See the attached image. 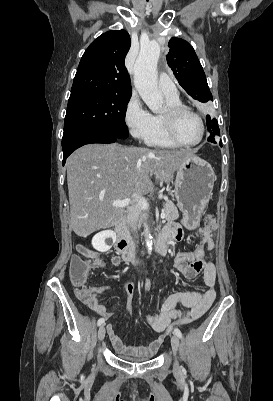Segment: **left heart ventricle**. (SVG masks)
Segmentation results:
<instances>
[{
  "label": "left heart ventricle",
  "mask_w": 273,
  "mask_h": 401,
  "mask_svg": "<svg viewBox=\"0 0 273 401\" xmlns=\"http://www.w3.org/2000/svg\"><path fill=\"white\" fill-rule=\"evenodd\" d=\"M176 133L181 140L187 143L199 140L202 135V128L198 118L189 113L180 114L176 119Z\"/></svg>",
  "instance_id": "1"
}]
</instances>
